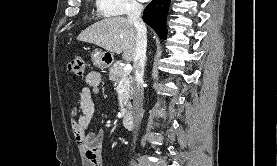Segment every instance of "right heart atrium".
I'll list each match as a JSON object with an SVG mask.
<instances>
[{"label":"right heart atrium","mask_w":277,"mask_h":166,"mask_svg":"<svg viewBox=\"0 0 277 166\" xmlns=\"http://www.w3.org/2000/svg\"><path fill=\"white\" fill-rule=\"evenodd\" d=\"M98 11L106 16L124 15L140 10L139 0H97Z\"/></svg>","instance_id":"obj_1"}]
</instances>
